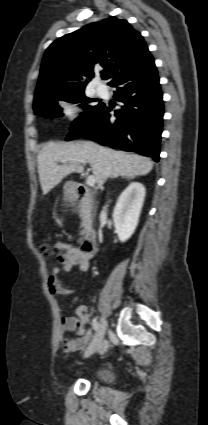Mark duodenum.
Listing matches in <instances>:
<instances>
[{
  "mask_svg": "<svg viewBox=\"0 0 208 425\" xmlns=\"http://www.w3.org/2000/svg\"><path fill=\"white\" fill-rule=\"evenodd\" d=\"M69 191L77 201L82 203L85 230L81 242V249L87 254L94 253L97 250V235L92 225L93 194L91 190L82 183H72L69 187Z\"/></svg>",
  "mask_w": 208,
  "mask_h": 425,
  "instance_id": "obj_1",
  "label": "duodenum"
}]
</instances>
